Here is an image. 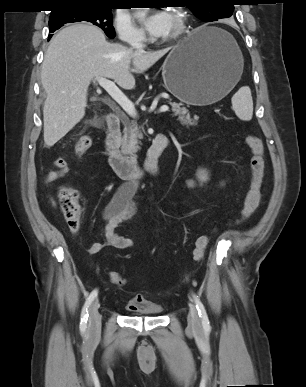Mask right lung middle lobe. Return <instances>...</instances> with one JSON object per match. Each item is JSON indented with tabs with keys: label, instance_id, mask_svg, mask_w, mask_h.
<instances>
[{
	"label": "right lung middle lobe",
	"instance_id": "obj_1",
	"mask_svg": "<svg viewBox=\"0 0 306 387\" xmlns=\"http://www.w3.org/2000/svg\"><path fill=\"white\" fill-rule=\"evenodd\" d=\"M87 21L100 27L108 37L115 36L112 26L111 8L103 6H72L52 12L49 18V30L53 33L66 23Z\"/></svg>",
	"mask_w": 306,
	"mask_h": 387
}]
</instances>
